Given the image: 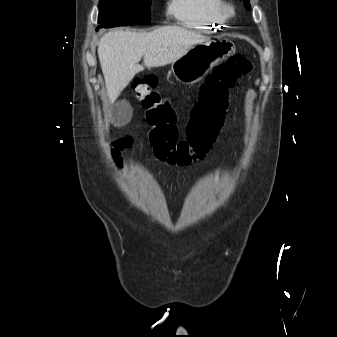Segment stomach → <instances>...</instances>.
Here are the masks:
<instances>
[{
  "label": "stomach",
  "mask_w": 337,
  "mask_h": 337,
  "mask_svg": "<svg viewBox=\"0 0 337 337\" xmlns=\"http://www.w3.org/2000/svg\"><path fill=\"white\" fill-rule=\"evenodd\" d=\"M235 51V45L226 38L198 43L190 47L171 69L177 80L186 84L200 81L209 70Z\"/></svg>",
  "instance_id": "1"
}]
</instances>
